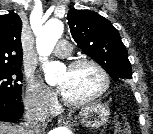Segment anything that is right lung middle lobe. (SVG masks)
Listing matches in <instances>:
<instances>
[{
	"label": "right lung middle lobe",
	"mask_w": 153,
	"mask_h": 134,
	"mask_svg": "<svg viewBox=\"0 0 153 134\" xmlns=\"http://www.w3.org/2000/svg\"><path fill=\"white\" fill-rule=\"evenodd\" d=\"M23 78L20 66L0 67V95L21 99Z\"/></svg>",
	"instance_id": "1"
}]
</instances>
